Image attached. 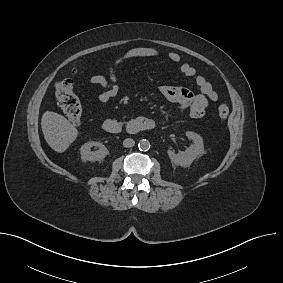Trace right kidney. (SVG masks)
Here are the masks:
<instances>
[{"label": "right kidney", "mask_w": 283, "mask_h": 283, "mask_svg": "<svg viewBox=\"0 0 283 283\" xmlns=\"http://www.w3.org/2000/svg\"><path fill=\"white\" fill-rule=\"evenodd\" d=\"M97 146L99 149L96 151H91V147ZM81 159L83 161H101L103 160L108 154V149L99 142H87L80 148Z\"/></svg>", "instance_id": "obj_1"}]
</instances>
